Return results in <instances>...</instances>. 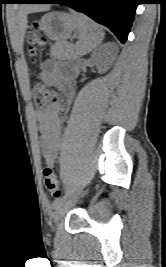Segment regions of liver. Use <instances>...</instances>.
<instances>
[{"instance_id":"6515ba94","label":"liver","mask_w":166,"mask_h":267,"mask_svg":"<svg viewBox=\"0 0 166 267\" xmlns=\"http://www.w3.org/2000/svg\"><path fill=\"white\" fill-rule=\"evenodd\" d=\"M50 9V6H24L19 11V30L21 31L20 41H23L24 33L27 26V14L31 12H38V11H47Z\"/></svg>"}]
</instances>
